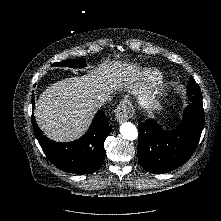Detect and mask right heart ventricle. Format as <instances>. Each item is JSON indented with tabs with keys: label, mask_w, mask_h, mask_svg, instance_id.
Returning <instances> with one entry per match:
<instances>
[{
	"label": "right heart ventricle",
	"mask_w": 221,
	"mask_h": 221,
	"mask_svg": "<svg viewBox=\"0 0 221 221\" xmlns=\"http://www.w3.org/2000/svg\"><path fill=\"white\" fill-rule=\"evenodd\" d=\"M157 75H158V73L156 72V71H148L147 72V76L149 77V78H156L157 77Z\"/></svg>",
	"instance_id": "e07e8e85"
}]
</instances>
